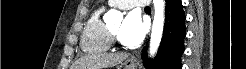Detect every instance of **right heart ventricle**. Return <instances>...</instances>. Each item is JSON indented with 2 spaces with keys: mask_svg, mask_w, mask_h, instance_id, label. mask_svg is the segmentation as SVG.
<instances>
[{
  "mask_svg": "<svg viewBox=\"0 0 246 69\" xmlns=\"http://www.w3.org/2000/svg\"><path fill=\"white\" fill-rule=\"evenodd\" d=\"M103 11V8L96 9L85 25L81 49L86 53L105 52L112 45L110 28L104 20Z\"/></svg>",
  "mask_w": 246,
  "mask_h": 69,
  "instance_id": "obj_1",
  "label": "right heart ventricle"
}]
</instances>
